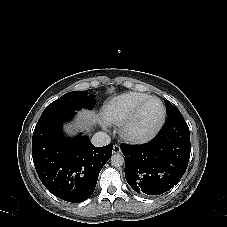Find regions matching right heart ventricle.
Segmentation results:
<instances>
[{"label":"right heart ventricle","instance_id":"right-heart-ventricle-1","mask_svg":"<svg viewBox=\"0 0 227 227\" xmlns=\"http://www.w3.org/2000/svg\"><path fill=\"white\" fill-rule=\"evenodd\" d=\"M149 97L147 94L136 92L115 96L103 106L102 116L108 122L120 124Z\"/></svg>","mask_w":227,"mask_h":227}]
</instances>
